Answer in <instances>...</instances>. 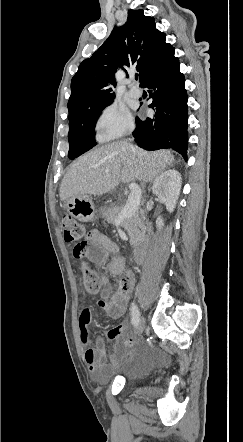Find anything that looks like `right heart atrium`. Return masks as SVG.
<instances>
[{
	"label": "right heart atrium",
	"mask_w": 243,
	"mask_h": 442,
	"mask_svg": "<svg viewBox=\"0 0 243 442\" xmlns=\"http://www.w3.org/2000/svg\"><path fill=\"white\" fill-rule=\"evenodd\" d=\"M134 126L133 117L126 107L110 103L99 113L95 130L100 140L113 141L130 133Z\"/></svg>",
	"instance_id": "1"
}]
</instances>
